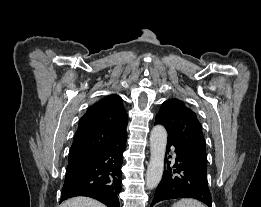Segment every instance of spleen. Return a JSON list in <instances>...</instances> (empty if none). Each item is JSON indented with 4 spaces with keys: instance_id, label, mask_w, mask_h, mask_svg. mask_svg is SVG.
<instances>
[{
    "instance_id": "3e777b00",
    "label": "spleen",
    "mask_w": 261,
    "mask_h": 207,
    "mask_svg": "<svg viewBox=\"0 0 261 207\" xmlns=\"http://www.w3.org/2000/svg\"><path fill=\"white\" fill-rule=\"evenodd\" d=\"M172 207H206L201 202L194 199H181Z\"/></svg>"
}]
</instances>
